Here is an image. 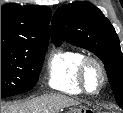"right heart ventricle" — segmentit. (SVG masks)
<instances>
[{
    "label": "right heart ventricle",
    "mask_w": 123,
    "mask_h": 113,
    "mask_svg": "<svg viewBox=\"0 0 123 113\" xmlns=\"http://www.w3.org/2000/svg\"><path fill=\"white\" fill-rule=\"evenodd\" d=\"M84 55L74 49L53 51L48 59L47 83L50 88L66 93L82 89L78 81V67Z\"/></svg>",
    "instance_id": "1"
}]
</instances>
